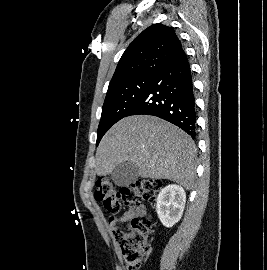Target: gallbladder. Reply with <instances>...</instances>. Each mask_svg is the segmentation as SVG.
Returning <instances> with one entry per match:
<instances>
[{
  "mask_svg": "<svg viewBox=\"0 0 267 270\" xmlns=\"http://www.w3.org/2000/svg\"><path fill=\"white\" fill-rule=\"evenodd\" d=\"M138 167L130 162L122 163L112 171L111 179L119 187L129 186L139 178Z\"/></svg>",
  "mask_w": 267,
  "mask_h": 270,
  "instance_id": "1",
  "label": "gallbladder"
}]
</instances>
